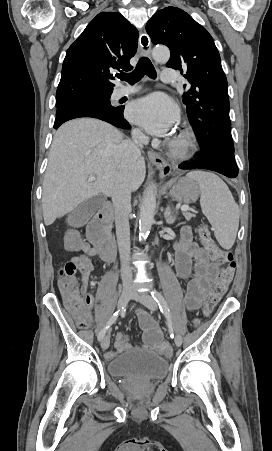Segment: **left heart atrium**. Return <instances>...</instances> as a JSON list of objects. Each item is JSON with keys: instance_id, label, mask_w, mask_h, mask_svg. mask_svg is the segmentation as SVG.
<instances>
[{"instance_id": "39dd6f15", "label": "left heart atrium", "mask_w": 272, "mask_h": 451, "mask_svg": "<svg viewBox=\"0 0 272 451\" xmlns=\"http://www.w3.org/2000/svg\"><path fill=\"white\" fill-rule=\"evenodd\" d=\"M179 113L175 103L165 95L155 94L134 102L129 118L154 135H166L178 121Z\"/></svg>"}]
</instances>
